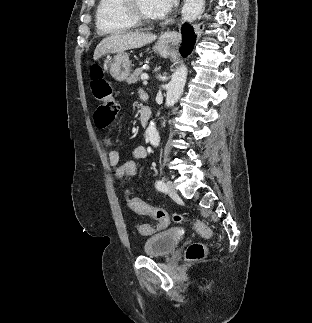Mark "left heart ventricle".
<instances>
[{
	"instance_id": "b2bd125f",
	"label": "left heart ventricle",
	"mask_w": 312,
	"mask_h": 323,
	"mask_svg": "<svg viewBox=\"0 0 312 323\" xmlns=\"http://www.w3.org/2000/svg\"><path fill=\"white\" fill-rule=\"evenodd\" d=\"M137 14H152V7H137Z\"/></svg>"
}]
</instances>
